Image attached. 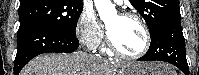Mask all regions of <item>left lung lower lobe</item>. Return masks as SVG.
Instances as JSON below:
<instances>
[{"label":"left lung lower lobe","mask_w":199,"mask_h":75,"mask_svg":"<svg viewBox=\"0 0 199 75\" xmlns=\"http://www.w3.org/2000/svg\"><path fill=\"white\" fill-rule=\"evenodd\" d=\"M138 60L168 62L178 67L185 75H189L180 18L165 22L159 32L151 37L147 53Z\"/></svg>","instance_id":"1"}]
</instances>
